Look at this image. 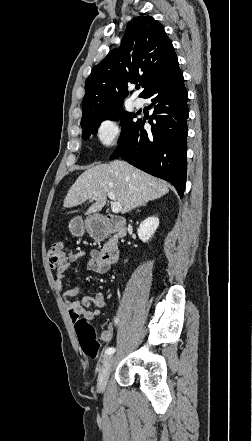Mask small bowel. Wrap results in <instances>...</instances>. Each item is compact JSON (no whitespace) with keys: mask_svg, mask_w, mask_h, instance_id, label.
Listing matches in <instances>:
<instances>
[{"mask_svg":"<svg viewBox=\"0 0 252 441\" xmlns=\"http://www.w3.org/2000/svg\"><path fill=\"white\" fill-rule=\"evenodd\" d=\"M85 254L83 252L72 253L67 256L63 264H61L54 275V282L57 290L62 294L64 299L77 298L74 301L66 303L69 315L73 322L80 317L87 320H93L103 314V309L107 307L109 297L103 293H96L94 296H80L81 287H73L64 290L65 271L68 267L79 261ZM87 269L95 273H105L109 267L102 261L100 254L96 250L89 253L87 261ZM115 322H110L106 329L101 333L100 340L108 342L113 338L115 331Z\"/></svg>","mask_w":252,"mask_h":441,"instance_id":"obj_1","label":"small bowel"}]
</instances>
